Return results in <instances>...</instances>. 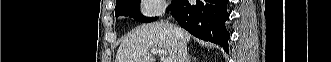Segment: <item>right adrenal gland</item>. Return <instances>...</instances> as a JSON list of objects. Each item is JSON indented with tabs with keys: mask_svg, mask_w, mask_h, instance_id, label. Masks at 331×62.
Wrapping results in <instances>:
<instances>
[{
	"mask_svg": "<svg viewBox=\"0 0 331 62\" xmlns=\"http://www.w3.org/2000/svg\"><path fill=\"white\" fill-rule=\"evenodd\" d=\"M186 62H191V57L188 55L187 61Z\"/></svg>",
	"mask_w": 331,
	"mask_h": 62,
	"instance_id": "2a0ac1e0",
	"label": "right adrenal gland"
}]
</instances>
